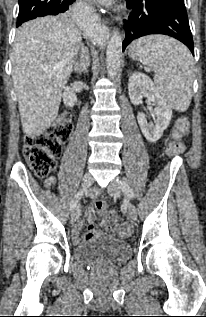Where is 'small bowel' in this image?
I'll return each instance as SVG.
<instances>
[{
	"mask_svg": "<svg viewBox=\"0 0 206 317\" xmlns=\"http://www.w3.org/2000/svg\"><path fill=\"white\" fill-rule=\"evenodd\" d=\"M47 184L48 185H53L55 184V180L53 178H50L48 181H47ZM85 218L86 220L90 223L87 231L85 233H82V225L80 222H77L73 228V236L74 238L77 240V241H82V240H90V239H93L95 238L96 236H98V232H96L93 228V216L92 214L89 212V211H86L85 212ZM103 232L105 234H111L112 233V229L109 225L108 222H106L104 224V227H103Z\"/></svg>",
	"mask_w": 206,
	"mask_h": 317,
	"instance_id": "1",
	"label": "small bowel"
}]
</instances>
